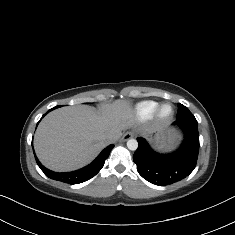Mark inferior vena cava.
Returning <instances> with one entry per match:
<instances>
[{"instance_id":"inferior-vena-cava-1","label":"inferior vena cava","mask_w":235,"mask_h":235,"mask_svg":"<svg viewBox=\"0 0 235 235\" xmlns=\"http://www.w3.org/2000/svg\"><path fill=\"white\" fill-rule=\"evenodd\" d=\"M121 136V132L118 133H109L106 135L105 137V141L107 143H114L115 141H117Z\"/></svg>"}]
</instances>
